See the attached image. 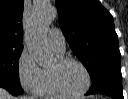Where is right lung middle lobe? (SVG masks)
<instances>
[{"mask_svg":"<svg viewBox=\"0 0 128 99\" xmlns=\"http://www.w3.org/2000/svg\"><path fill=\"white\" fill-rule=\"evenodd\" d=\"M22 48L0 46V80L21 86L18 73V59Z\"/></svg>","mask_w":128,"mask_h":99,"instance_id":"dd1d6c3e","label":"right lung middle lobe"}]
</instances>
